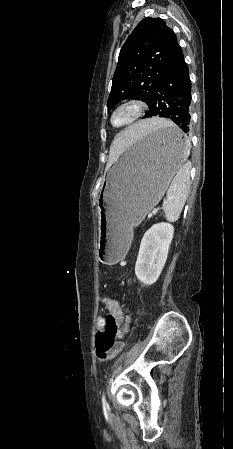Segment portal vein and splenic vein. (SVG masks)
<instances>
[{
  "mask_svg": "<svg viewBox=\"0 0 233 449\" xmlns=\"http://www.w3.org/2000/svg\"><path fill=\"white\" fill-rule=\"evenodd\" d=\"M157 212H158V208H154L150 215L152 216L153 214H156Z\"/></svg>",
  "mask_w": 233,
  "mask_h": 449,
  "instance_id": "18ae733b",
  "label": "portal vein and splenic vein"
}]
</instances>
